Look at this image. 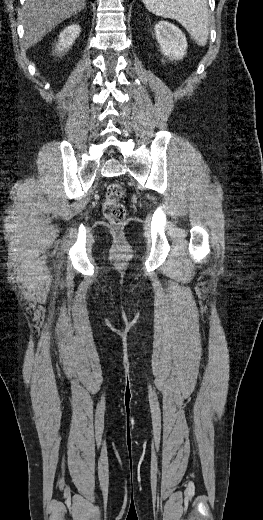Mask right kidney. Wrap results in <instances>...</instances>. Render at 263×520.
Instances as JSON below:
<instances>
[{
	"label": "right kidney",
	"mask_w": 263,
	"mask_h": 520,
	"mask_svg": "<svg viewBox=\"0 0 263 520\" xmlns=\"http://www.w3.org/2000/svg\"><path fill=\"white\" fill-rule=\"evenodd\" d=\"M79 33L80 26L78 24H72L66 27L59 35V42L56 45V51H59V53L67 51L75 42Z\"/></svg>",
	"instance_id": "ca27d5eb"
}]
</instances>
